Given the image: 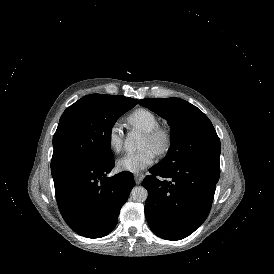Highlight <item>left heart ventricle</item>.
Returning a JSON list of instances; mask_svg holds the SVG:
<instances>
[{
    "mask_svg": "<svg viewBox=\"0 0 274 274\" xmlns=\"http://www.w3.org/2000/svg\"><path fill=\"white\" fill-rule=\"evenodd\" d=\"M140 147L144 148V147H149L152 150H154L153 145L151 144V142L144 136V138L141 141Z\"/></svg>",
    "mask_w": 274,
    "mask_h": 274,
    "instance_id": "b2bd125f",
    "label": "left heart ventricle"
}]
</instances>
